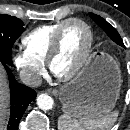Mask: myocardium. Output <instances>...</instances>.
<instances>
[{
    "instance_id": "obj_1",
    "label": "myocardium",
    "mask_w": 130,
    "mask_h": 130,
    "mask_svg": "<svg viewBox=\"0 0 130 130\" xmlns=\"http://www.w3.org/2000/svg\"><path fill=\"white\" fill-rule=\"evenodd\" d=\"M70 23H78L80 25H82L85 30L87 31L88 34V41H87V45H86V49L81 57V59L79 60V62L76 64V66L68 73L64 74V75H59L56 74L53 69H52V64L53 61L55 60V58L57 57L59 51H60V41H61V36L62 33L65 29V27L70 24ZM92 46H93V31L92 28L90 27V25L85 22L82 19L79 18H70L65 20L61 26L57 29V31L55 32L53 39H52V43L46 58V66L48 68V70L59 80L61 81H68L72 78H74L75 76H77L80 71L84 68V66L86 65L91 51H92Z\"/></svg>"
}]
</instances>
